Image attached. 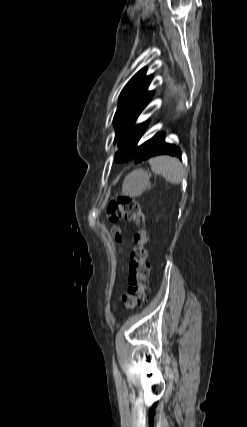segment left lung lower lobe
Returning a JSON list of instances; mask_svg holds the SVG:
<instances>
[{
    "instance_id": "1",
    "label": "left lung lower lobe",
    "mask_w": 247,
    "mask_h": 427,
    "mask_svg": "<svg viewBox=\"0 0 247 427\" xmlns=\"http://www.w3.org/2000/svg\"><path fill=\"white\" fill-rule=\"evenodd\" d=\"M163 154L181 158L180 149L172 144L166 143L164 133H158L138 147L133 160L135 163H140Z\"/></svg>"
}]
</instances>
